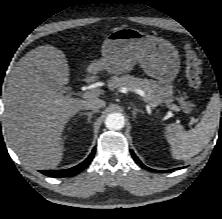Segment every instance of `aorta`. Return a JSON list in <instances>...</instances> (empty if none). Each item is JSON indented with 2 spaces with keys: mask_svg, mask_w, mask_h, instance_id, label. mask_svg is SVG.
Segmentation results:
<instances>
[{
  "mask_svg": "<svg viewBox=\"0 0 222 219\" xmlns=\"http://www.w3.org/2000/svg\"><path fill=\"white\" fill-rule=\"evenodd\" d=\"M124 124V117L120 113L109 114L105 120V125L109 130H120L124 127Z\"/></svg>",
  "mask_w": 222,
  "mask_h": 219,
  "instance_id": "762f6f07",
  "label": "aorta"
}]
</instances>
